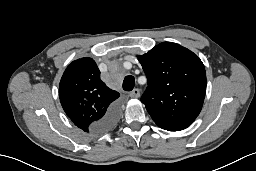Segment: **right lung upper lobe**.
Listing matches in <instances>:
<instances>
[{
	"label": "right lung upper lobe",
	"instance_id": "right-lung-upper-lobe-1",
	"mask_svg": "<svg viewBox=\"0 0 256 171\" xmlns=\"http://www.w3.org/2000/svg\"><path fill=\"white\" fill-rule=\"evenodd\" d=\"M61 105L72 122L85 132L99 131L101 119L117 104L120 96L100 79V70L91 58L73 61L59 85Z\"/></svg>",
	"mask_w": 256,
	"mask_h": 171
}]
</instances>
